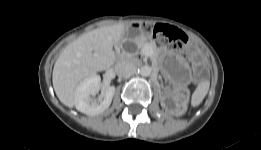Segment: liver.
Segmentation results:
<instances>
[{"instance_id": "6515ba94", "label": "liver", "mask_w": 261, "mask_h": 150, "mask_svg": "<svg viewBox=\"0 0 261 150\" xmlns=\"http://www.w3.org/2000/svg\"><path fill=\"white\" fill-rule=\"evenodd\" d=\"M127 27L115 24L94 29L67 45L53 68L52 82L59 100L75 106L74 92L86 78L109 69L116 60L113 45L124 40Z\"/></svg>"}]
</instances>
